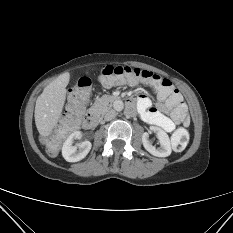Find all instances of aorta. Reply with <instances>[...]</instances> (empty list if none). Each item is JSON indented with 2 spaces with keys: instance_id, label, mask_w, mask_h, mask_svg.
<instances>
[{
  "instance_id": "1",
  "label": "aorta",
  "mask_w": 233,
  "mask_h": 233,
  "mask_svg": "<svg viewBox=\"0 0 233 233\" xmlns=\"http://www.w3.org/2000/svg\"><path fill=\"white\" fill-rule=\"evenodd\" d=\"M114 108L117 110V111H121V110H123V108H124V104H123V102L122 101H116L115 103H114Z\"/></svg>"
}]
</instances>
